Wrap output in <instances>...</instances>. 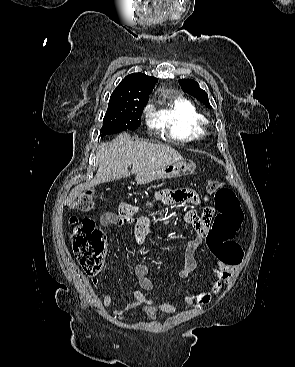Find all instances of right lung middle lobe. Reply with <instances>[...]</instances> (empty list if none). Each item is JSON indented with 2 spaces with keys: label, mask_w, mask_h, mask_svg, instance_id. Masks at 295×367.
<instances>
[{
  "label": "right lung middle lobe",
  "mask_w": 295,
  "mask_h": 367,
  "mask_svg": "<svg viewBox=\"0 0 295 367\" xmlns=\"http://www.w3.org/2000/svg\"><path fill=\"white\" fill-rule=\"evenodd\" d=\"M146 104L147 102L109 103L100 130L101 136L137 129Z\"/></svg>",
  "instance_id": "right-lung-middle-lobe-1"
}]
</instances>
